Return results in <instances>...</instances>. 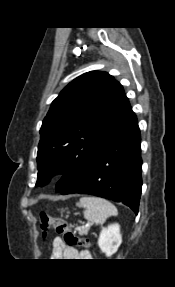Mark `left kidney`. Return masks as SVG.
I'll return each mask as SVG.
<instances>
[{"instance_id": "5707ae66", "label": "left kidney", "mask_w": 175, "mask_h": 287, "mask_svg": "<svg viewBox=\"0 0 175 287\" xmlns=\"http://www.w3.org/2000/svg\"><path fill=\"white\" fill-rule=\"evenodd\" d=\"M121 243L122 236L118 224H111L107 228L102 229L98 239V246L106 256L116 253Z\"/></svg>"}]
</instances>
